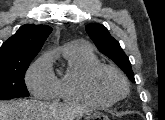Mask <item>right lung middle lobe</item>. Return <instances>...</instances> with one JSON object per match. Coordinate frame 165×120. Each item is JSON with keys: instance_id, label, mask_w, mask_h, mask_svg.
Instances as JSON below:
<instances>
[{"instance_id": "1", "label": "right lung middle lobe", "mask_w": 165, "mask_h": 120, "mask_svg": "<svg viewBox=\"0 0 165 120\" xmlns=\"http://www.w3.org/2000/svg\"><path fill=\"white\" fill-rule=\"evenodd\" d=\"M31 60L0 62V99L29 96L24 76Z\"/></svg>"}]
</instances>
